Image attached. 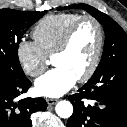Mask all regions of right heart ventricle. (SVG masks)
<instances>
[{
    "instance_id": "1",
    "label": "right heart ventricle",
    "mask_w": 127,
    "mask_h": 127,
    "mask_svg": "<svg viewBox=\"0 0 127 127\" xmlns=\"http://www.w3.org/2000/svg\"><path fill=\"white\" fill-rule=\"evenodd\" d=\"M80 17L81 15L76 13H60L48 15L37 23L32 35L46 57L53 54L66 31Z\"/></svg>"
}]
</instances>
